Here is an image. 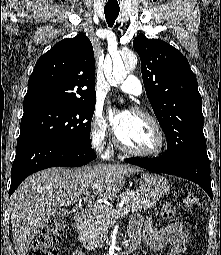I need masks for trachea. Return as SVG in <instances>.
Returning a JSON list of instances; mask_svg holds the SVG:
<instances>
[{
  "mask_svg": "<svg viewBox=\"0 0 221 255\" xmlns=\"http://www.w3.org/2000/svg\"><path fill=\"white\" fill-rule=\"evenodd\" d=\"M119 11H120V9H117V8H112V9L105 8L104 9L105 18H106V21H107V24L109 27H112L114 25L115 20L119 15Z\"/></svg>",
  "mask_w": 221,
  "mask_h": 255,
  "instance_id": "1",
  "label": "trachea"
}]
</instances>
